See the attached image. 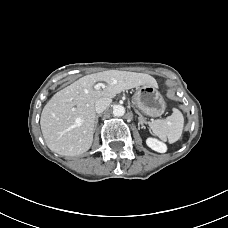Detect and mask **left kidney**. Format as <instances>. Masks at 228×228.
I'll return each mask as SVG.
<instances>
[{
  "mask_svg": "<svg viewBox=\"0 0 228 228\" xmlns=\"http://www.w3.org/2000/svg\"><path fill=\"white\" fill-rule=\"evenodd\" d=\"M146 144L148 147H150L152 150L157 151L159 153H164L167 150V147L164 143L158 141L155 138H147Z\"/></svg>",
  "mask_w": 228,
  "mask_h": 228,
  "instance_id": "left-kidney-1",
  "label": "left kidney"
}]
</instances>
